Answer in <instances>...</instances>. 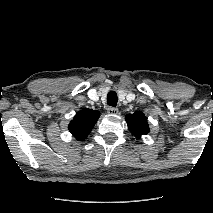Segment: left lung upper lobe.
I'll return each instance as SVG.
<instances>
[{"label":"left lung upper lobe","instance_id":"obj_1","mask_svg":"<svg viewBox=\"0 0 213 213\" xmlns=\"http://www.w3.org/2000/svg\"><path fill=\"white\" fill-rule=\"evenodd\" d=\"M129 130L136 137L140 138L142 135L149 133V126L145 115L138 111L134 114H128L125 117Z\"/></svg>","mask_w":213,"mask_h":213}]
</instances>
